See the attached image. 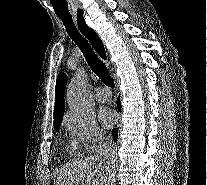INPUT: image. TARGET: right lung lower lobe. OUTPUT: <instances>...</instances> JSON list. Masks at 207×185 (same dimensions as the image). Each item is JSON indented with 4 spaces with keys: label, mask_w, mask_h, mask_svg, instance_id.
Returning a JSON list of instances; mask_svg holds the SVG:
<instances>
[{
    "label": "right lung lower lobe",
    "mask_w": 207,
    "mask_h": 185,
    "mask_svg": "<svg viewBox=\"0 0 207 185\" xmlns=\"http://www.w3.org/2000/svg\"><path fill=\"white\" fill-rule=\"evenodd\" d=\"M117 109L119 111L121 110L120 100H118V102H117ZM112 135H113L114 140L116 141L117 140V135H118V129H113L112 130Z\"/></svg>",
    "instance_id": "1"
}]
</instances>
